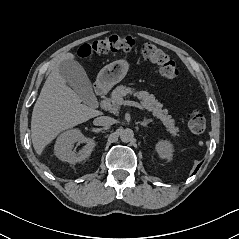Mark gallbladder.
Returning <instances> with one entry per match:
<instances>
[{"label":"gallbladder","instance_id":"1","mask_svg":"<svg viewBox=\"0 0 239 239\" xmlns=\"http://www.w3.org/2000/svg\"><path fill=\"white\" fill-rule=\"evenodd\" d=\"M58 66L60 75L84 102L90 103L95 100L89 78L79 62L68 59L61 61Z\"/></svg>","mask_w":239,"mask_h":239}]
</instances>
